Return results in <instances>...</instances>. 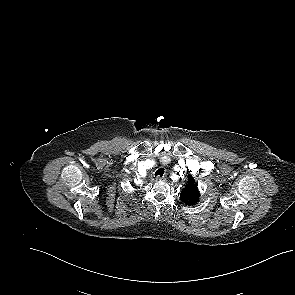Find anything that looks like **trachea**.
Listing matches in <instances>:
<instances>
[{"instance_id": "obj_1", "label": "trachea", "mask_w": 295, "mask_h": 295, "mask_svg": "<svg viewBox=\"0 0 295 295\" xmlns=\"http://www.w3.org/2000/svg\"><path fill=\"white\" fill-rule=\"evenodd\" d=\"M163 174H164V169L161 168L156 171L155 176H163Z\"/></svg>"}]
</instances>
